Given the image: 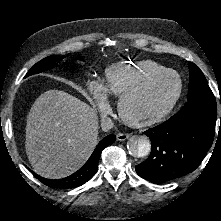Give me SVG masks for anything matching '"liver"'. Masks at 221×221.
I'll list each match as a JSON object with an SVG mask.
<instances>
[{
	"label": "liver",
	"mask_w": 221,
	"mask_h": 221,
	"mask_svg": "<svg viewBox=\"0 0 221 221\" xmlns=\"http://www.w3.org/2000/svg\"><path fill=\"white\" fill-rule=\"evenodd\" d=\"M98 116L80 99L61 90L41 94L27 117L25 149L42 177H66L88 160L97 145Z\"/></svg>",
	"instance_id": "obj_1"
}]
</instances>
